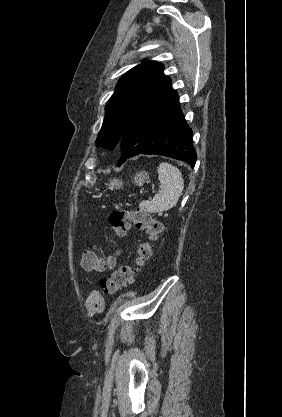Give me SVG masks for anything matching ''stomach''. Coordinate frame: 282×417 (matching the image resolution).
I'll list each match as a JSON object with an SVG mask.
<instances>
[{"instance_id":"obj_1","label":"stomach","mask_w":282,"mask_h":417,"mask_svg":"<svg viewBox=\"0 0 282 417\" xmlns=\"http://www.w3.org/2000/svg\"><path fill=\"white\" fill-rule=\"evenodd\" d=\"M149 174L146 170H140V172H136L134 176V182L137 186H142L144 182H149L148 180ZM124 182L120 180V178H111L109 182V188H122Z\"/></svg>"}]
</instances>
